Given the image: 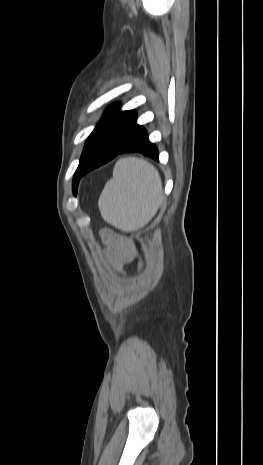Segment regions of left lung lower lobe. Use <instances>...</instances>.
<instances>
[{
    "label": "left lung lower lobe",
    "mask_w": 263,
    "mask_h": 465,
    "mask_svg": "<svg viewBox=\"0 0 263 465\" xmlns=\"http://www.w3.org/2000/svg\"><path fill=\"white\" fill-rule=\"evenodd\" d=\"M136 120V112H121L99 138L81 170L82 176L124 152H139L159 160L157 147Z\"/></svg>",
    "instance_id": "1"
}]
</instances>
